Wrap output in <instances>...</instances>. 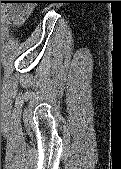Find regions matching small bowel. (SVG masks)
I'll return each instance as SVG.
<instances>
[{
    "label": "small bowel",
    "mask_w": 121,
    "mask_h": 169,
    "mask_svg": "<svg viewBox=\"0 0 121 169\" xmlns=\"http://www.w3.org/2000/svg\"><path fill=\"white\" fill-rule=\"evenodd\" d=\"M31 8H25L21 10H15L10 13V20L14 25H21L22 22L30 15Z\"/></svg>",
    "instance_id": "c3829d8e"
}]
</instances>
